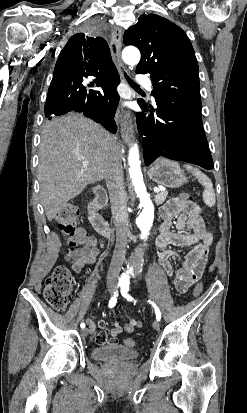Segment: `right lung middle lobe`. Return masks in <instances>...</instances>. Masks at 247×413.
Returning <instances> with one entry per match:
<instances>
[{"instance_id":"dd1d6c3e","label":"right lung middle lobe","mask_w":247,"mask_h":413,"mask_svg":"<svg viewBox=\"0 0 247 413\" xmlns=\"http://www.w3.org/2000/svg\"><path fill=\"white\" fill-rule=\"evenodd\" d=\"M71 88H69L65 84H54L51 83L49 90H48V95L47 99L52 100V99H57L62 96L68 95L71 92Z\"/></svg>"}]
</instances>
